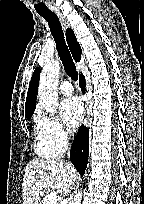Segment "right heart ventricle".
Wrapping results in <instances>:
<instances>
[{"mask_svg": "<svg viewBox=\"0 0 144 204\" xmlns=\"http://www.w3.org/2000/svg\"><path fill=\"white\" fill-rule=\"evenodd\" d=\"M35 132H36L35 139L36 154L43 159H53L57 157L60 152L53 148L45 139L38 118H36L35 120Z\"/></svg>", "mask_w": 144, "mask_h": 204, "instance_id": "1", "label": "right heart ventricle"}]
</instances>
